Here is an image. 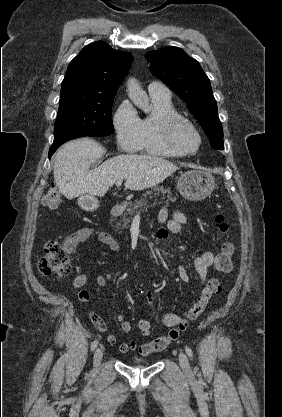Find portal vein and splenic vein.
<instances>
[{"label": "portal vein and splenic vein", "instance_id": "1", "mask_svg": "<svg viewBox=\"0 0 282 417\" xmlns=\"http://www.w3.org/2000/svg\"><path fill=\"white\" fill-rule=\"evenodd\" d=\"M123 180H117V182H115L116 186H120V184H122Z\"/></svg>", "mask_w": 282, "mask_h": 417}]
</instances>
